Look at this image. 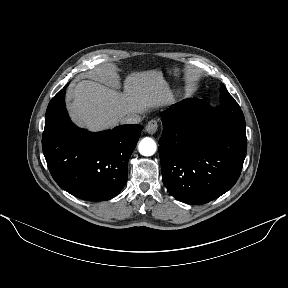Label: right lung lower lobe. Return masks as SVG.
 <instances>
[{
	"label": "right lung lower lobe",
	"mask_w": 288,
	"mask_h": 288,
	"mask_svg": "<svg viewBox=\"0 0 288 288\" xmlns=\"http://www.w3.org/2000/svg\"><path fill=\"white\" fill-rule=\"evenodd\" d=\"M67 86L52 98L46 111L42 146L49 171L75 197L109 200L127 181L128 160L143 127L121 125L99 133L76 127L65 108Z\"/></svg>",
	"instance_id": "right-lung-lower-lobe-1"
}]
</instances>
